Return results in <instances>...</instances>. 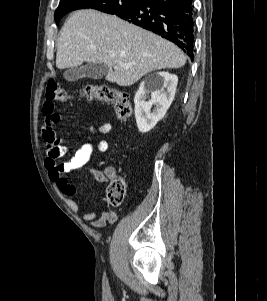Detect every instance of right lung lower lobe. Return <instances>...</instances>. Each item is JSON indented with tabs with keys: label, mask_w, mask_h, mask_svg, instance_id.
<instances>
[{
	"label": "right lung lower lobe",
	"mask_w": 267,
	"mask_h": 301,
	"mask_svg": "<svg viewBox=\"0 0 267 301\" xmlns=\"http://www.w3.org/2000/svg\"><path fill=\"white\" fill-rule=\"evenodd\" d=\"M117 16L170 40L193 60L192 0H139Z\"/></svg>",
	"instance_id": "obj_1"
}]
</instances>
